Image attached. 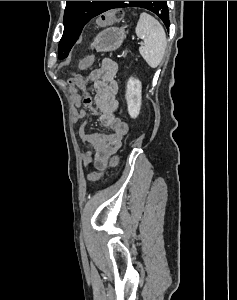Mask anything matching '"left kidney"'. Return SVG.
<instances>
[{
  "mask_svg": "<svg viewBox=\"0 0 237 300\" xmlns=\"http://www.w3.org/2000/svg\"><path fill=\"white\" fill-rule=\"evenodd\" d=\"M141 81L139 79H134V77H130L127 81L126 85V103L128 113L131 119H137L140 113L141 107Z\"/></svg>",
  "mask_w": 237,
  "mask_h": 300,
  "instance_id": "5707ae66",
  "label": "left kidney"
}]
</instances>
